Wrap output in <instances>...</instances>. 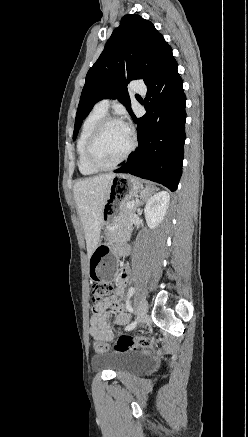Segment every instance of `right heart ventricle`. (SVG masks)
Returning <instances> with one entry per match:
<instances>
[{"label": "right heart ventricle", "instance_id": "right-heart-ventricle-1", "mask_svg": "<svg viewBox=\"0 0 248 437\" xmlns=\"http://www.w3.org/2000/svg\"><path fill=\"white\" fill-rule=\"evenodd\" d=\"M106 113H103L97 109H93L84 119L80 133L77 139L76 150H77V165L80 173L85 176H90L96 174L98 171L92 168L85 155V148L90 134L92 133L96 124L104 118Z\"/></svg>", "mask_w": 248, "mask_h": 437}]
</instances>
